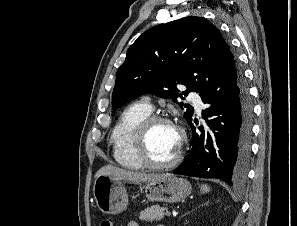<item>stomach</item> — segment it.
<instances>
[{"label":"stomach","mask_w":297,"mask_h":226,"mask_svg":"<svg viewBox=\"0 0 297 226\" xmlns=\"http://www.w3.org/2000/svg\"><path fill=\"white\" fill-rule=\"evenodd\" d=\"M143 188L146 197L150 201L169 203L185 199L192 190L190 183L186 179L173 175L147 182ZM93 194L99 210L105 214L115 215L127 208L128 195L121 180L101 175L95 180Z\"/></svg>","instance_id":"obj_1"}]
</instances>
